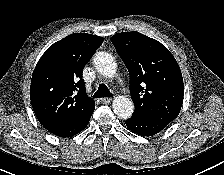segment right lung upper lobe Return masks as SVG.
<instances>
[{
  "label": "right lung upper lobe",
  "instance_id": "obj_1",
  "mask_svg": "<svg viewBox=\"0 0 224 175\" xmlns=\"http://www.w3.org/2000/svg\"><path fill=\"white\" fill-rule=\"evenodd\" d=\"M102 43L103 38L96 35L71 34L50 46L37 63L30 99L37 119L50 132L94 111L82 72Z\"/></svg>",
  "mask_w": 224,
  "mask_h": 175
}]
</instances>
